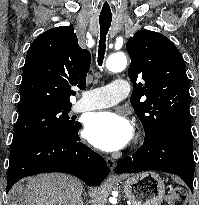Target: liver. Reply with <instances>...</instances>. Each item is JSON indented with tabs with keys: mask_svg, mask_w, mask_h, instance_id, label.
Returning <instances> with one entry per match:
<instances>
[{
	"mask_svg": "<svg viewBox=\"0 0 199 205\" xmlns=\"http://www.w3.org/2000/svg\"><path fill=\"white\" fill-rule=\"evenodd\" d=\"M83 185L66 174H41L28 178L22 198L13 205H83Z\"/></svg>",
	"mask_w": 199,
	"mask_h": 205,
	"instance_id": "6515ba94",
	"label": "liver"
}]
</instances>
